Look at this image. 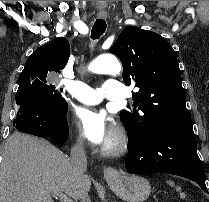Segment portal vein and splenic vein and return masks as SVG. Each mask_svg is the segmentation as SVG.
<instances>
[{
    "instance_id": "1",
    "label": "portal vein and splenic vein",
    "mask_w": 209,
    "mask_h": 202,
    "mask_svg": "<svg viewBox=\"0 0 209 202\" xmlns=\"http://www.w3.org/2000/svg\"><path fill=\"white\" fill-rule=\"evenodd\" d=\"M50 192H51L52 194H54V195H57V196L60 198V200H61L62 202H73L72 199H70L67 195H65V194L62 193L61 191H58V190H51Z\"/></svg>"
}]
</instances>
